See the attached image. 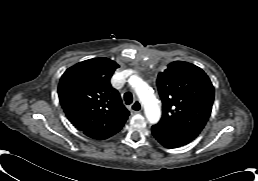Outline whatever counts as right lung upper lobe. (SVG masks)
Segmentation results:
<instances>
[{"mask_svg":"<svg viewBox=\"0 0 258 181\" xmlns=\"http://www.w3.org/2000/svg\"><path fill=\"white\" fill-rule=\"evenodd\" d=\"M118 67L108 58L89 59L67 69L60 79L62 108L71 123L85 134L124 124L128 118L118 91L110 84Z\"/></svg>","mask_w":258,"mask_h":181,"instance_id":"right-lung-upper-lobe-1","label":"right lung upper lobe"}]
</instances>
